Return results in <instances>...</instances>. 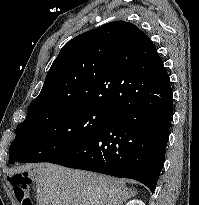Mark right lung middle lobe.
I'll return each instance as SVG.
<instances>
[{
	"label": "right lung middle lobe",
	"mask_w": 199,
	"mask_h": 205,
	"mask_svg": "<svg viewBox=\"0 0 199 205\" xmlns=\"http://www.w3.org/2000/svg\"><path fill=\"white\" fill-rule=\"evenodd\" d=\"M112 111L90 105L28 108L9 148V164L51 162L90 140L107 126Z\"/></svg>",
	"instance_id": "obj_1"
}]
</instances>
